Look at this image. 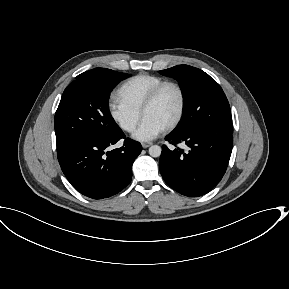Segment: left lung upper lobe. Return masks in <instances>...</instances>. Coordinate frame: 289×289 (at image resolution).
<instances>
[{"mask_svg":"<svg viewBox=\"0 0 289 289\" xmlns=\"http://www.w3.org/2000/svg\"><path fill=\"white\" fill-rule=\"evenodd\" d=\"M179 82L184 97V116L174 132L194 129L232 134L231 110L220 85L204 71L177 65L159 71Z\"/></svg>","mask_w":289,"mask_h":289,"instance_id":"left-lung-upper-lobe-1","label":"left lung upper lobe"}]
</instances>
